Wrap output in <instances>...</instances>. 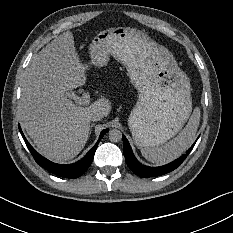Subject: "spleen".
Instances as JSON below:
<instances>
[{
    "label": "spleen",
    "instance_id": "1",
    "mask_svg": "<svg viewBox=\"0 0 233 233\" xmlns=\"http://www.w3.org/2000/svg\"><path fill=\"white\" fill-rule=\"evenodd\" d=\"M200 117L201 110L199 107H195L187 125L178 136L158 148L143 149V157L157 166L166 165L178 159L193 144Z\"/></svg>",
    "mask_w": 233,
    "mask_h": 233
}]
</instances>
